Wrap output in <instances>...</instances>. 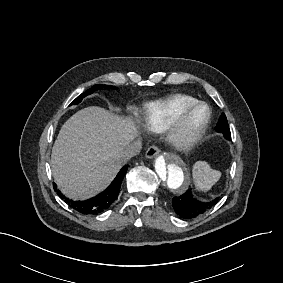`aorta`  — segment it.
I'll return each instance as SVG.
<instances>
[{
	"label": "aorta",
	"mask_w": 283,
	"mask_h": 283,
	"mask_svg": "<svg viewBox=\"0 0 283 283\" xmlns=\"http://www.w3.org/2000/svg\"><path fill=\"white\" fill-rule=\"evenodd\" d=\"M156 177L163 191L180 194L189 183L188 171L183 160L173 154L164 153L154 163Z\"/></svg>",
	"instance_id": "aorta-1"
}]
</instances>
